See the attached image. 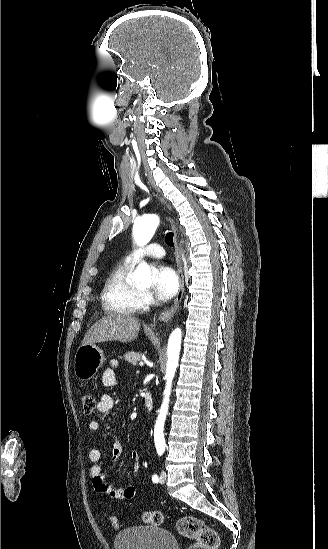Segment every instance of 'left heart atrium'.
<instances>
[{"label": "left heart atrium", "mask_w": 328, "mask_h": 549, "mask_svg": "<svg viewBox=\"0 0 328 549\" xmlns=\"http://www.w3.org/2000/svg\"><path fill=\"white\" fill-rule=\"evenodd\" d=\"M178 288V275L170 265H163L155 270L153 292L160 300L172 298Z\"/></svg>", "instance_id": "obj_1"}]
</instances>
